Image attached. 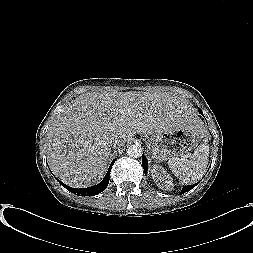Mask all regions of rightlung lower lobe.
<instances>
[{"mask_svg":"<svg viewBox=\"0 0 253 253\" xmlns=\"http://www.w3.org/2000/svg\"><path fill=\"white\" fill-rule=\"evenodd\" d=\"M115 160L112 161L108 172L106 174V176L104 177L103 181L95 186L92 187H88V188H81V189H76V188H71L63 183H61V185H63L66 189H68L69 191L73 192L74 194L80 195V196H93V195H97L100 192L104 191L105 188L108 186L109 184V179H110V171L111 168L114 164Z\"/></svg>","mask_w":253,"mask_h":253,"instance_id":"98d812e1","label":"right lung lower lobe"}]
</instances>
